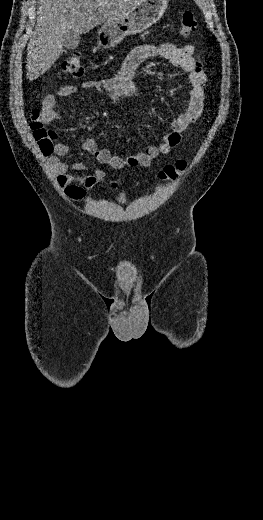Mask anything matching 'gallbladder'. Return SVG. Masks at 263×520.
<instances>
[{
    "label": "gallbladder",
    "instance_id": "obj_1",
    "mask_svg": "<svg viewBox=\"0 0 263 520\" xmlns=\"http://www.w3.org/2000/svg\"><path fill=\"white\" fill-rule=\"evenodd\" d=\"M80 41V36L74 32L66 33L63 36L64 48L72 50L75 49Z\"/></svg>",
    "mask_w": 263,
    "mask_h": 520
}]
</instances>
